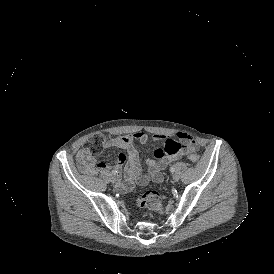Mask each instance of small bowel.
<instances>
[{
	"mask_svg": "<svg viewBox=\"0 0 274 274\" xmlns=\"http://www.w3.org/2000/svg\"><path fill=\"white\" fill-rule=\"evenodd\" d=\"M164 138L163 135H154V139L159 141ZM177 138L186 144V154L196 153L199 144L192 137L185 133H179ZM134 140L140 144H146L149 140V134L143 131H137L132 135L126 136H105L106 147H117L125 150L117 157V166H125V180L118 182V187L123 191H130L135 184L145 186L149 182L160 183L163 180L162 170L167 165H172L175 161L183 157V147L179 142L165 141L160 144L155 151V160L148 159L147 173L141 174V165L139 152L134 145ZM77 162L80 169L88 174L107 170V165L102 161H97L86 149H81L77 154Z\"/></svg>",
	"mask_w": 274,
	"mask_h": 274,
	"instance_id": "obj_1",
	"label": "small bowel"
}]
</instances>
